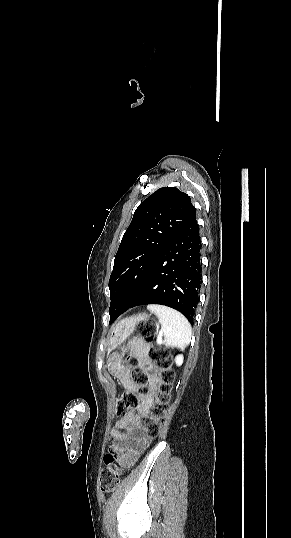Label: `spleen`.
I'll use <instances>...</instances> for the list:
<instances>
[{"label":"spleen","instance_id":"3e777b00","mask_svg":"<svg viewBox=\"0 0 291 538\" xmlns=\"http://www.w3.org/2000/svg\"><path fill=\"white\" fill-rule=\"evenodd\" d=\"M147 309L154 312L161 324L165 342L184 349L191 340V325L180 312L162 305H148Z\"/></svg>","mask_w":291,"mask_h":538}]
</instances>
